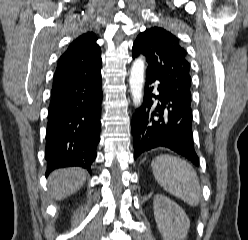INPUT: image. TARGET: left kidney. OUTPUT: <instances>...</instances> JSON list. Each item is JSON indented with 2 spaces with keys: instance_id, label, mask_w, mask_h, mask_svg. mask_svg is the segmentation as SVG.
Masks as SVG:
<instances>
[{
  "instance_id": "5707ae66",
  "label": "left kidney",
  "mask_w": 248,
  "mask_h": 240,
  "mask_svg": "<svg viewBox=\"0 0 248 240\" xmlns=\"http://www.w3.org/2000/svg\"><path fill=\"white\" fill-rule=\"evenodd\" d=\"M154 218L164 240H184L190 221L184 210L164 195H156L153 201Z\"/></svg>"
}]
</instances>
